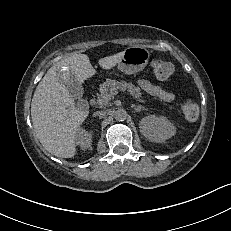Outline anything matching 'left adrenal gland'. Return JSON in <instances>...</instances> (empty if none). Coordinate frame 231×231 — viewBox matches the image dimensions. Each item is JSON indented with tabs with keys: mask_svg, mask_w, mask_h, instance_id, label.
<instances>
[{
	"mask_svg": "<svg viewBox=\"0 0 231 231\" xmlns=\"http://www.w3.org/2000/svg\"><path fill=\"white\" fill-rule=\"evenodd\" d=\"M133 107H134V110H135L136 112H140L141 110H146V108H145V107H142V106H135V105H133Z\"/></svg>",
	"mask_w": 231,
	"mask_h": 231,
	"instance_id": "left-adrenal-gland-1",
	"label": "left adrenal gland"
}]
</instances>
